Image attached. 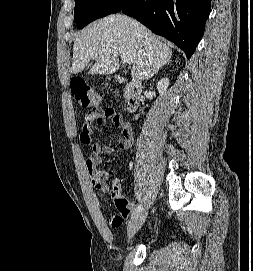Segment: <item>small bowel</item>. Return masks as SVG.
<instances>
[{
  "mask_svg": "<svg viewBox=\"0 0 253 271\" xmlns=\"http://www.w3.org/2000/svg\"><path fill=\"white\" fill-rule=\"evenodd\" d=\"M108 122H111L112 125H114L122 132L123 137L118 142L119 148L123 150L129 149L132 146L134 140L133 131L130 125L123 121L120 117L119 121L108 119L103 115L101 111H91L85 115L80 133L81 143L84 145H90L94 124L105 126L108 124ZM113 153L114 148L110 145L101 143L91 144V154L85 162V167L88 175L90 176L92 185L100 191H107V180L109 179L110 174L106 170L99 169V166L101 165L104 156H109ZM133 208V203L126 202V208L124 211H120V217H127Z\"/></svg>",
  "mask_w": 253,
  "mask_h": 271,
  "instance_id": "c3829d8e",
  "label": "small bowel"
}]
</instances>
